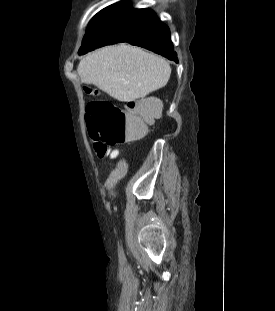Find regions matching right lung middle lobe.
I'll list each match as a JSON object with an SVG mask.
<instances>
[{"mask_svg": "<svg viewBox=\"0 0 275 311\" xmlns=\"http://www.w3.org/2000/svg\"><path fill=\"white\" fill-rule=\"evenodd\" d=\"M153 15L149 9H133L127 1L104 8L88 25L78 54L121 42L136 25Z\"/></svg>", "mask_w": 275, "mask_h": 311, "instance_id": "dd1d6c3e", "label": "right lung middle lobe"}]
</instances>
